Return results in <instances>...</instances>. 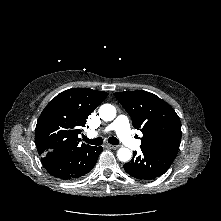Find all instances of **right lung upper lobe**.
<instances>
[{
  "label": "right lung upper lobe",
  "mask_w": 221,
  "mask_h": 221,
  "mask_svg": "<svg viewBox=\"0 0 221 221\" xmlns=\"http://www.w3.org/2000/svg\"><path fill=\"white\" fill-rule=\"evenodd\" d=\"M108 93L72 88L58 94L42 111L35 129V143L42 161L59 152L86 146L80 144L81 127Z\"/></svg>",
  "instance_id": "right-lung-upper-lobe-1"
}]
</instances>
